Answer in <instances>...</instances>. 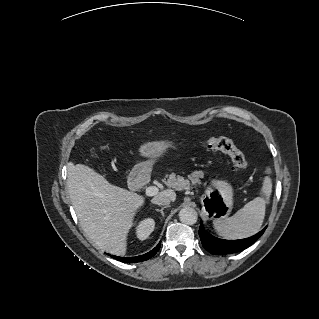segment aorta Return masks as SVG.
Masks as SVG:
<instances>
[{"label": "aorta", "mask_w": 319, "mask_h": 319, "mask_svg": "<svg viewBox=\"0 0 319 319\" xmlns=\"http://www.w3.org/2000/svg\"><path fill=\"white\" fill-rule=\"evenodd\" d=\"M179 219L182 223L192 225L198 219L197 212L192 207H184L179 211Z\"/></svg>", "instance_id": "aorta-1"}]
</instances>
